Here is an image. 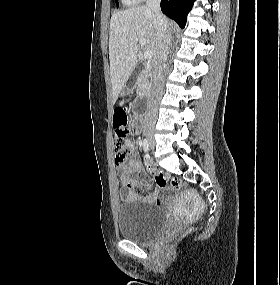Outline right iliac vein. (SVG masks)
Wrapping results in <instances>:
<instances>
[{
  "mask_svg": "<svg viewBox=\"0 0 280 285\" xmlns=\"http://www.w3.org/2000/svg\"><path fill=\"white\" fill-rule=\"evenodd\" d=\"M146 137H147V139L149 141V144H150L151 148H154L155 142H154V138H153V133L152 132H147L146 133Z\"/></svg>",
  "mask_w": 280,
  "mask_h": 285,
  "instance_id": "1",
  "label": "right iliac vein"
}]
</instances>
